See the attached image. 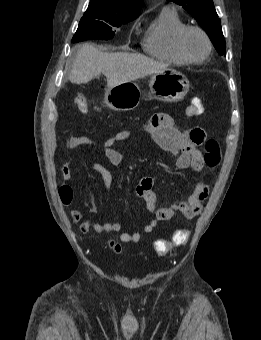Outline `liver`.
Here are the masks:
<instances>
[{"instance_id": "1", "label": "liver", "mask_w": 261, "mask_h": 340, "mask_svg": "<svg viewBox=\"0 0 261 340\" xmlns=\"http://www.w3.org/2000/svg\"><path fill=\"white\" fill-rule=\"evenodd\" d=\"M166 68V64L141 54L102 52L96 45L85 43L77 52L69 80L73 84L88 83L102 73L107 78V87H114Z\"/></svg>"}]
</instances>
